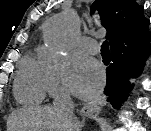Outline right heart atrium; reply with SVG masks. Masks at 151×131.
Returning <instances> with one entry per match:
<instances>
[{
  "label": "right heart atrium",
  "instance_id": "obj_1",
  "mask_svg": "<svg viewBox=\"0 0 151 131\" xmlns=\"http://www.w3.org/2000/svg\"><path fill=\"white\" fill-rule=\"evenodd\" d=\"M47 93L62 96L68 93L64 62L56 57L45 56L42 60Z\"/></svg>",
  "mask_w": 151,
  "mask_h": 131
}]
</instances>
